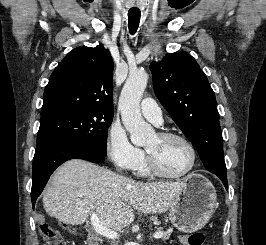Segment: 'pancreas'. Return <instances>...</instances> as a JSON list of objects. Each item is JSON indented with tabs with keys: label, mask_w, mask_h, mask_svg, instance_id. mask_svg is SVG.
<instances>
[{
	"label": "pancreas",
	"mask_w": 266,
	"mask_h": 245,
	"mask_svg": "<svg viewBox=\"0 0 266 245\" xmlns=\"http://www.w3.org/2000/svg\"><path fill=\"white\" fill-rule=\"evenodd\" d=\"M156 233H163V237H161V241H167V239H169L171 235L170 231H163V229H157Z\"/></svg>",
	"instance_id": "pancreas-1"
}]
</instances>
